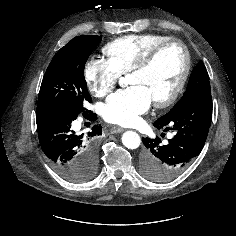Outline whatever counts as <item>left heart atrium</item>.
Here are the masks:
<instances>
[{
    "label": "left heart atrium",
    "mask_w": 236,
    "mask_h": 236,
    "mask_svg": "<svg viewBox=\"0 0 236 236\" xmlns=\"http://www.w3.org/2000/svg\"><path fill=\"white\" fill-rule=\"evenodd\" d=\"M151 103L152 98L146 88L133 85L110 96L102 115L109 123L131 126L149 109Z\"/></svg>",
    "instance_id": "39dd6f15"
}]
</instances>
